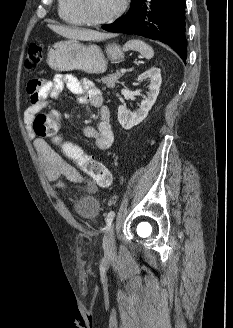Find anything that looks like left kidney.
<instances>
[{"mask_svg": "<svg viewBox=\"0 0 233 328\" xmlns=\"http://www.w3.org/2000/svg\"><path fill=\"white\" fill-rule=\"evenodd\" d=\"M147 78L151 79L149 92L147 98L141 102L140 108L135 112H131L125 105H120L118 107V121L126 130H129L135 125L141 123L147 117L148 112L157 99L162 82L161 70L159 68L152 67L139 75L138 81H143Z\"/></svg>", "mask_w": 233, "mask_h": 328, "instance_id": "1", "label": "left kidney"}]
</instances>
